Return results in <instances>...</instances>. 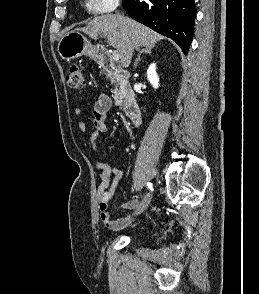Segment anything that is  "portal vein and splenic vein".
I'll return each instance as SVG.
<instances>
[{
  "instance_id": "obj_1",
  "label": "portal vein and splenic vein",
  "mask_w": 259,
  "mask_h": 294,
  "mask_svg": "<svg viewBox=\"0 0 259 294\" xmlns=\"http://www.w3.org/2000/svg\"><path fill=\"white\" fill-rule=\"evenodd\" d=\"M111 59H112L113 61H118V60L120 59V55H119V53H118L117 51H113V52H112V57H111Z\"/></svg>"
}]
</instances>
